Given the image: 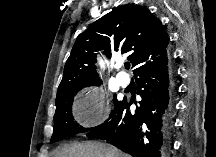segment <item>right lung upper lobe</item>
Segmentation results:
<instances>
[{
  "mask_svg": "<svg viewBox=\"0 0 216 157\" xmlns=\"http://www.w3.org/2000/svg\"><path fill=\"white\" fill-rule=\"evenodd\" d=\"M168 43L162 23L146 7L126 4L114 8L78 35L66 61L56 98L64 92L100 85L102 80L95 65V52L99 50L109 58L114 51L130 52L128 60L135 73L164 53Z\"/></svg>",
  "mask_w": 216,
  "mask_h": 157,
  "instance_id": "right-lung-upper-lobe-1",
  "label": "right lung upper lobe"
}]
</instances>
